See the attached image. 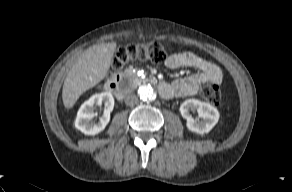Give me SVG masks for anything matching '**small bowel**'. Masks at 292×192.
<instances>
[{"instance_id":"c3829d8e","label":"small bowel","mask_w":292,"mask_h":192,"mask_svg":"<svg viewBox=\"0 0 292 192\" xmlns=\"http://www.w3.org/2000/svg\"><path fill=\"white\" fill-rule=\"evenodd\" d=\"M170 69L190 67L198 70L197 73L178 79L169 84L171 91L165 98L173 96L195 95L202 87L208 84H220L222 82V71L214 63L199 57L192 52H181L171 54L165 61Z\"/></svg>"}]
</instances>
